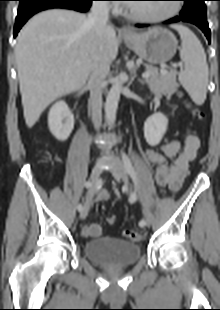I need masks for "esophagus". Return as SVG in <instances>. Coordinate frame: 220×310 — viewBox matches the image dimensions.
<instances>
[{
	"label": "esophagus",
	"instance_id": "34e87169",
	"mask_svg": "<svg viewBox=\"0 0 220 310\" xmlns=\"http://www.w3.org/2000/svg\"><path fill=\"white\" fill-rule=\"evenodd\" d=\"M119 33L124 35V36H127V35H132L133 31L130 28H128L127 26H122L119 29Z\"/></svg>",
	"mask_w": 220,
	"mask_h": 310
}]
</instances>
